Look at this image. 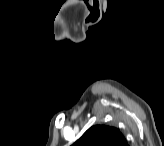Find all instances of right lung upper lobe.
<instances>
[{
    "label": "right lung upper lobe",
    "mask_w": 164,
    "mask_h": 146,
    "mask_svg": "<svg viewBox=\"0 0 164 146\" xmlns=\"http://www.w3.org/2000/svg\"><path fill=\"white\" fill-rule=\"evenodd\" d=\"M74 146H127L124 135L115 127L94 125L90 127Z\"/></svg>",
    "instance_id": "obj_1"
}]
</instances>
